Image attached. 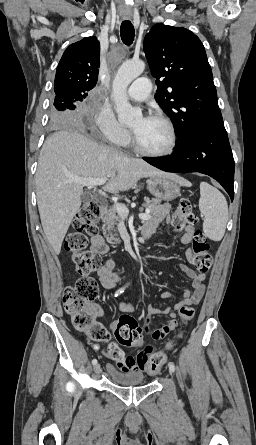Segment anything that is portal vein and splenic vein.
Listing matches in <instances>:
<instances>
[{
	"instance_id": "obj_1",
	"label": "portal vein and splenic vein",
	"mask_w": 256,
	"mask_h": 445,
	"mask_svg": "<svg viewBox=\"0 0 256 445\" xmlns=\"http://www.w3.org/2000/svg\"><path fill=\"white\" fill-rule=\"evenodd\" d=\"M71 181H73L75 183H78V184H82L83 186H86L88 188H94V187H96L98 185L105 184L106 181H107V178L106 177H102V178H78V177H71ZM98 193L100 195L106 197V193L104 191L98 190ZM114 207L116 208V210H117V212H118V214L120 216H123V217H127L128 216L129 210H128V208L125 205L120 204V203H116L114 205ZM149 213H150V211L146 210L145 213L139 214V218L141 220H144V221L145 220H149L151 218V215Z\"/></svg>"
}]
</instances>
